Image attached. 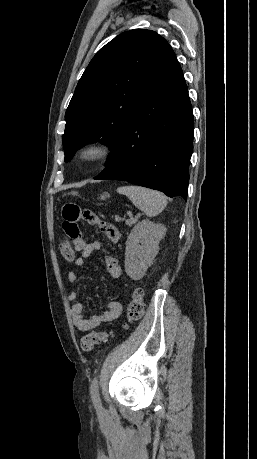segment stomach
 <instances>
[{"label":"stomach","mask_w":257,"mask_h":459,"mask_svg":"<svg viewBox=\"0 0 257 459\" xmlns=\"http://www.w3.org/2000/svg\"><path fill=\"white\" fill-rule=\"evenodd\" d=\"M74 194H75V193H74ZM106 197H107V194H106V193H104V194H102V195L100 196V198H101L102 200H104Z\"/></svg>","instance_id":"stomach-1"}]
</instances>
